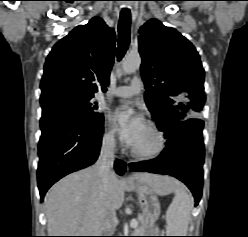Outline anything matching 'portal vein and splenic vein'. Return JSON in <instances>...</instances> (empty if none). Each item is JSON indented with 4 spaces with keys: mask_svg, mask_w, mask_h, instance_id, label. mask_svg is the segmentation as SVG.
Listing matches in <instances>:
<instances>
[{
    "mask_svg": "<svg viewBox=\"0 0 248 237\" xmlns=\"http://www.w3.org/2000/svg\"><path fill=\"white\" fill-rule=\"evenodd\" d=\"M130 226H131V228H136L138 226L137 220L136 219H132L130 221Z\"/></svg>",
    "mask_w": 248,
    "mask_h": 237,
    "instance_id": "portal-vein-and-splenic-vein-1",
    "label": "portal vein and splenic vein"
}]
</instances>
